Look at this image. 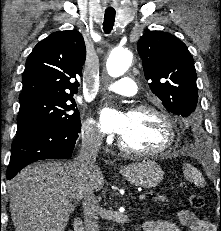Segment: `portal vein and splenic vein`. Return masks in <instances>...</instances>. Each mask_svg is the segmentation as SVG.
I'll return each instance as SVG.
<instances>
[{"instance_id": "1", "label": "portal vein and splenic vein", "mask_w": 221, "mask_h": 231, "mask_svg": "<svg viewBox=\"0 0 221 231\" xmlns=\"http://www.w3.org/2000/svg\"><path fill=\"white\" fill-rule=\"evenodd\" d=\"M146 196H147L146 194H141V195H139V199L144 200L146 198Z\"/></svg>"}]
</instances>
